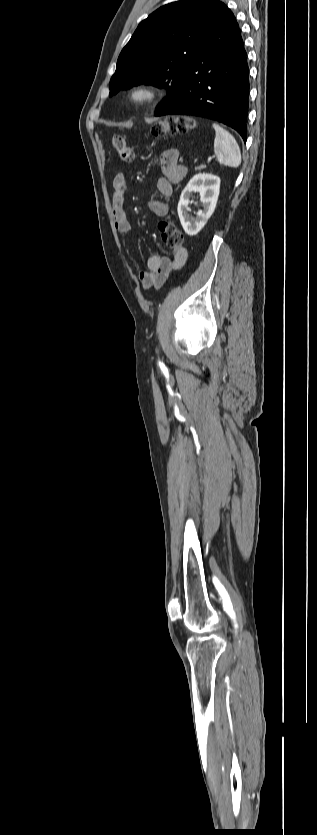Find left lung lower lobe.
I'll return each mask as SVG.
<instances>
[{
	"label": "left lung lower lobe",
	"instance_id": "obj_1",
	"mask_svg": "<svg viewBox=\"0 0 317 835\" xmlns=\"http://www.w3.org/2000/svg\"><path fill=\"white\" fill-rule=\"evenodd\" d=\"M249 67L239 25L227 10L188 67L176 101L155 116L195 115L235 129L246 142Z\"/></svg>",
	"mask_w": 317,
	"mask_h": 835
}]
</instances>
